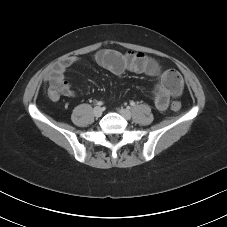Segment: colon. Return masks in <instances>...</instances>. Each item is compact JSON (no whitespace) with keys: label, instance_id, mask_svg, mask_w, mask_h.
Masks as SVG:
<instances>
[{"label":"colon","instance_id":"5ec220e1","mask_svg":"<svg viewBox=\"0 0 227 227\" xmlns=\"http://www.w3.org/2000/svg\"><path fill=\"white\" fill-rule=\"evenodd\" d=\"M164 78L171 83H178L181 81V77L179 75V73L175 70H166L164 72ZM171 110L174 112H179L182 108V105L179 101H173L170 105Z\"/></svg>","mask_w":227,"mask_h":227}]
</instances>
